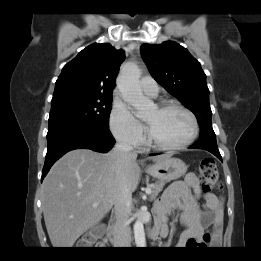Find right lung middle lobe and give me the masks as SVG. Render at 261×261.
<instances>
[{
    "label": "right lung middle lobe",
    "mask_w": 261,
    "mask_h": 261,
    "mask_svg": "<svg viewBox=\"0 0 261 261\" xmlns=\"http://www.w3.org/2000/svg\"><path fill=\"white\" fill-rule=\"evenodd\" d=\"M112 96L79 93L54 94L51 101L49 127L86 123L109 128Z\"/></svg>",
    "instance_id": "dd1d6c3e"
}]
</instances>
